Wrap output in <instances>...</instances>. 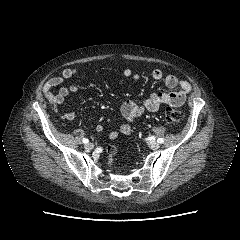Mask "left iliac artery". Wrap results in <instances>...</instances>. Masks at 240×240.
I'll return each instance as SVG.
<instances>
[{"label":"left iliac artery","mask_w":240,"mask_h":240,"mask_svg":"<svg viewBox=\"0 0 240 240\" xmlns=\"http://www.w3.org/2000/svg\"><path fill=\"white\" fill-rule=\"evenodd\" d=\"M157 142L160 143V144H162V143L164 142V139H163V138H158V139H157Z\"/></svg>","instance_id":"obj_1"}]
</instances>
